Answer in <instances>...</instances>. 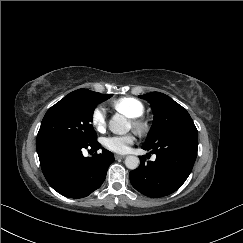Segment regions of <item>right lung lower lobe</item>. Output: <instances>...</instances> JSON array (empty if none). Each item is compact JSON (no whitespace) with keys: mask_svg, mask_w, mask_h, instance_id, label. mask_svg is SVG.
I'll use <instances>...</instances> for the list:
<instances>
[{"mask_svg":"<svg viewBox=\"0 0 243 243\" xmlns=\"http://www.w3.org/2000/svg\"><path fill=\"white\" fill-rule=\"evenodd\" d=\"M98 150L95 141L79 144L68 141H49L37 145L43 174L49 185L58 193L70 198H83L98 189L114 161L113 154L102 149V153L91 158L84 157L83 148Z\"/></svg>","mask_w":243,"mask_h":243,"instance_id":"obj_1","label":"right lung lower lobe"}]
</instances>
